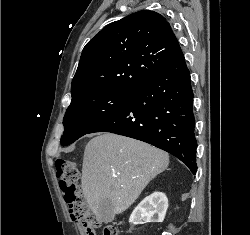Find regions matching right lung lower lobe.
Instances as JSON below:
<instances>
[{"label": "right lung lower lobe", "mask_w": 250, "mask_h": 235, "mask_svg": "<svg viewBox=\"0 0 250 235\" xmlns=\"http://www.w3.org/2000/svg\"><path fill=\"white\" fill-rule=\"evenodd\" d=\"M190 72L178 46L170 63L89 133L111 132L152 144L197 171Z\"/></svg>", "instance_id": "98d812e1"}]
</instances>
